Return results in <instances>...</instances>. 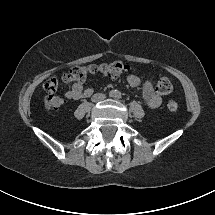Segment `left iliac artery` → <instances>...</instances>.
<instances>
[{
    "label": "left iliac artery",
    "instance_id": "obj_1",
    "mask_svg": "<svg viewBox=\"0 0 215 215\" xmlns=\"http://www.w3.org/2000/svg\"><path fill=\"white\" fill-rule=\"evenodd\" d=\"M118 98H120V94H118V96H117Z\"/></svg>",
    "mask_w": 215,
    "mask_h": 215
}]
</instances>
